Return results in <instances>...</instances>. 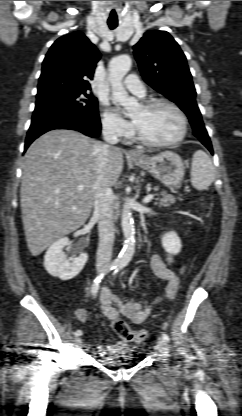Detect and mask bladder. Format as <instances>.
I'll use <instances>...</instances> for the list:
<instances>
[{
	"label": "bladder",
	"instance_id": "1",
	"mask_svg": "<svg viewBox=\"0 0 242 416\" xmlns=\"http://www.w3.org/2000/svg\"><path fill=\"white\" fill-rule=\"evenodd\" d=\"M125 348L124 351L108 354L109 358L107 359V362L114 366L129 364L132 361L129 357L134 352L133 350L127 349V347Z\"/></svg>",
	"mask_w": 242,
	"mask_h": 416
}]
</instances>
